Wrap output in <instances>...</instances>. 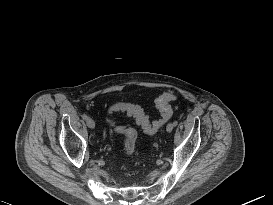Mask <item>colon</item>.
<instances>
[{
    "label": "colon",
    "mask_w": 273,
    "mask_h": 205,
    "mask_svg": "<svg viewBox=\"0 0 273 205\" xmlns=\"http://www.w3.org/2000/svg\"><path fill=\"white\" fill-rule=\"evenodd\" d=\"M174 100H176V95L170 92L163 93L159 97H157V99L155 100V105L160 112L161 118L154 122H151L149 120L148 116L139 106L130 105L127 108V112L135 119L136 123L146 133L152 134L158 131L165 123H167L171 119L173 112L170 104ZM123 108V104L111 105L108 109V114L122 111ZM110 124L113 126L116 133L124 136V152L127 156H132L136 147L137 132L132 128L115 125L113 122H110Z\"/></svg>",
    "instance_id": "1"
}]
</instances>
